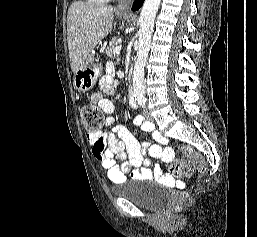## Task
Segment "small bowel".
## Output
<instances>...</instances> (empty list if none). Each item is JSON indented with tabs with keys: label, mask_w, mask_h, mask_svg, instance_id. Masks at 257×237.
Wrapping results in <instances>:
<instances>
[{
	"label": "small bowel",
	"mask_w": 257,
	"mask_h": 237,
	"mask_svg": "<svg viewBox=\"0 0 257 237\" xmlns=\"http://www.w3.org/2000/svg\"><path fill=\"white\" fill-rule=\"evenodd\" d=\"M110 72L111 67L108 66L107 73L100 79L99 89L91 94V100L108 115L105 124L111 126L109 130L100 134L88 133L87 140L92 147L94 157L101 163L108 178L115 183L123 182L128 173L134 180L156 179L160 182L174 183L176 179L165 174L160 167L147 168L150 161L144 158L148 149L151 157L171 161L172 149L161 147L168 142L166 137L154 131L153 125L140 116L135 118V123L150 133L156 144H140L125 126L114 125L112 114L115 111V104L106 96L113 93L117 82ZM117 160L121 163L118 164Z\"/></svg>",
	"instance_id": "obj_1"
}]
</instances>
